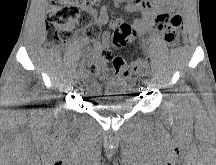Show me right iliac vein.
Segmentation results:
<instances>
[{
  "label": "right iliac vein",
  "mask_w": 216,
  "mask_h": 165,
  "mask_svg": "<svg viewBox=\"0 0 216 165\" xmlns=\"http://www.w3.org/2000/svg\"><path fill=\"white\" fill-rule=\"evenodd\" d=\"M82 74H83V70L81 72H79L75 78L78 80L82 76Z\"/></svg>",
  "instance_id": "obj_1"
}]
</instances>
